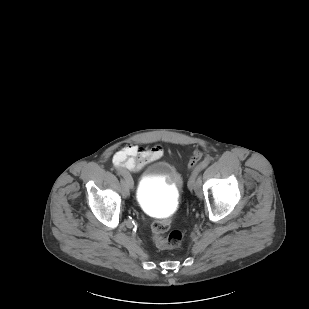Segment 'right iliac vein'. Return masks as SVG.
Returning a JSON list of instances; mask_svg holds the SVG:
<instances>
[{
    "mask_svg": "<svg viewBox=\"0 0 309 309\" xmlns=\"http://www.w3.org/2000/svg\"><path fill=\"white\" fill-rule=\"evenodd\" d=\"M124 178V177H123ZM132 181V179H125L124 178V181H123V186H124V190H125V193L128 194V192L133 188V187H130L129 186V182Z\"/></svg>",
    "mask_w": 309,
    "mask_h": 309,
    "instance_id": "right-iliac-vein-1",
    "label": "right iliac vein"
}]
</instances>
